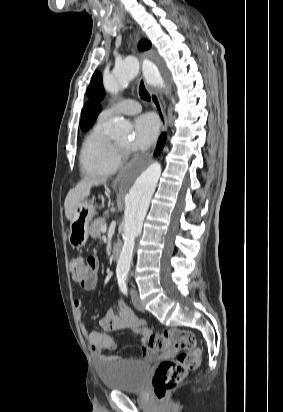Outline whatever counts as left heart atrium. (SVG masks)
Returning a JSON list of instances; mask_svg holds the SVG:
<instances>
[{
	"mask_svg": "<svg viewBox=\"0 0 283 412\" xmlns=\"http://www.w3.org/2000/svg\"><path fill=\"white\" fill-rule=\"evenodd\" d=\"M158 133V118L151 113L140 115L134 121V137L130 148L134 151L146 150L155 142Z\"/></svg>",
	"mask_w": 283,
	"mask_h": 412,
	"instance_id": "obj_1",
	"label": "left heart atrium"
}]
</instances>
